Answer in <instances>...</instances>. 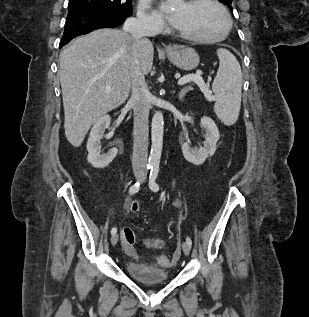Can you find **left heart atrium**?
Listing matches in <instances>:
<instances>
[{"label":"left heart atrium","mask_w":309,"mask_h":317,"mask_svg":"<svg viewBox=\"0 0 309 317\" xmlns=\"http://www.w3.org/2000/svg\"><path fill=\"white\" fill-rule=\"evenodd\" d=\"M169 20H170V22H171L173 25H175V23H176V17H175L174 15H171V16L169 17Z\"/></svg>","instance_id":"left-heart-atrium-1"}]
</instances>
